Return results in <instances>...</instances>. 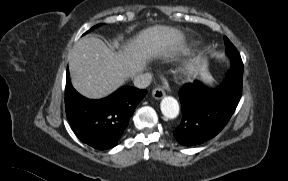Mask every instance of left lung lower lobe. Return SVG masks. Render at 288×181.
<instances>
[{"label": "left lung lower lobe", "instance_id": "obj_1", "mask_svg": "<svg viewBox=\"0 0 288 181\" xmlns=\"http://www.w3.org/2000/svg\"><path fill=\"white\" fill-rule=\"evenodd\" d=\"M242 93V82L226 79L217 89H209L195 81L179 92L182 120L173 131L184 146L201 144L215 137L228 123Z\"/></svg>", "mask_w": 288, "mask_h": 181}]
</instances>
